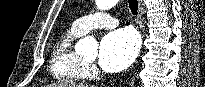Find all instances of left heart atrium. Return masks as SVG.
Returning a JSON list of instances; mask_svg holds the SVG:
<instances>
[{
  "label": "left heart atrium",
  "instance_id": "left-heart-atrium-1",
  "mask_svg": "<svg viewBox=\"0 0 205 87\" xmlns=\"http://www.w3.org/2000/svg\"><path fill=\"white\" fill-rule=\"evenodd\" d=\"M139 38L135 31L122 28L108 33L99 50V64L109 72H117L128 67L137 57Z\"/></svg>",
  "mask_w": 205,
  "mask_h": 87
}]
</instances>
